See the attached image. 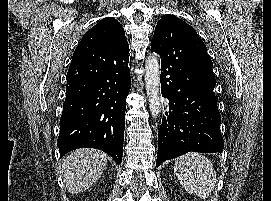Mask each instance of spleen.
Instances as JSON below:
<instances>
[{"mask_svg": "<svg viewBox=\"0 0 271 201\" xmlns=\"http://www.w3.org/2000/svg\"><path fill=\"white\" fill-rule=\"evenodd\" d=\"M174 173L189 194L204 200L210 197L217 183L212 162L197 152H188L177 158Z\"/></svg>", "mask_w": 271, "mask_h": 201, "instance_id": "spleen-1", "label": "spleen"}]
</instances>
